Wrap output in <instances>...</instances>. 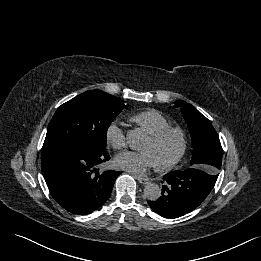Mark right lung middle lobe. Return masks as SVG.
<instances>
[{
  "label": "right lung middle lobe",
  "mask_w": 261,
  "mask_h": 261,
  "mask_svg": "<svg viewBox=\"0 0 261 261\" xmlns=\"http://www.w3.org/2000/svg\"><path fill=\"white\" fill-rule=\"evenodd\" d=\"M124 107L123 100L100 90L76 96L55 112L41 152L70 148L106 150L107 130Z\"/></svg>",
  "instance_id": "dd1d6c3e"
}]
</instances>
